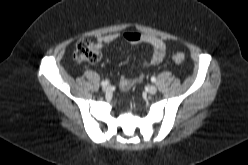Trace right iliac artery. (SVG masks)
I'll return each instance as SVG.
<instances>
[{
  "label": "right iliac artery",
  "mask_w": 248,
  "mask_h": 165,
  "mask_svg": "<svg viewBox=\"0 0 248 165\" xmlns=\"http://www.w3.org/2000/svg\"><path fill=\"white\" fill-rule=\"evenodd\" d=\"M107 84H109V81H108V80H103V81L101 82V85H102V86H106Z\"/></svg>",
  "instance_id": "right-iliac-artery-1"
}]
</instances>
